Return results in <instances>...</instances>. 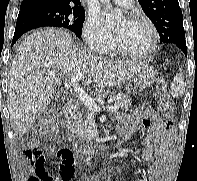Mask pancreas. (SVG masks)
<instances>
[{"label":"pancreas","mask_w":197,"mask_h":181,"mask_svg":"<svg viewBox=\"0 0 197 181\" xmlns=\"http://www.w3.org/2000/svg\"><path fill=\"white\" fill-rule=\"evenodd\" d=\"M101 96L99 92L97 94ZM112 104L117 105L121 108H128L131 105V99L128 95L120 93L111 98ZM70 130L75 134L79 140L91 141L97 135L95 129V112L87 109L85 112H78L71 119Z\"/></svg>","instance_id":"pancreas-1"}]
</instances>
